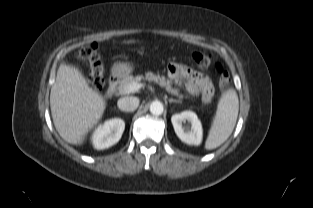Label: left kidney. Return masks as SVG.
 Segmentation results:
<instances>
[{"label": "left kidney", "mask_w": 313, "mask_h": 208, "mask_svg": "<svg viewBox=\"0 0 313 208\" xmlns=\"http://www.w3.org/2000/svg\"><path fill=\"white\" fill-rule=\"evenodd\" d=\"M186 121L191 123V128L183 126V123ZM171 122L176 135L182 142L196 146L201 144L203 137L202 125L194 112L183 111L179 114H174L171 117Z\"/></svg>", "instance_id": "5707ae66"}]
</instances>
